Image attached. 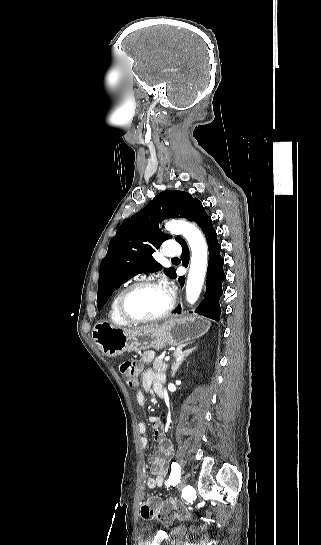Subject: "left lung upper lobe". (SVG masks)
Segmentation results:
<instances>
[{
	"mask_svg": "<svg viewBox=\"0 0 321 545\" xmlns=\"http://www.w3.org/2000/svg\"><path fill=\"white\" fill-rule=\"evenodd\" d=\"M201 205L197 198L184 191L168 190L157 194L145 208L125 220L110 240L107 255L100 265L97 307L100 308L133 276L161 270L152 254L171 236L161 232L158 224L167 218L191 220ZM175 240L180 243L183 239L175 237ZM164 272L170 277L176 275L174 268H165Z\"/></svg>",
	"mask_w": 321,
	"mask_h": 545,
	"instance_id": "left-lung-upper-lobe-1",
	"label": "left lung upper lobe"
}]
</instances>
